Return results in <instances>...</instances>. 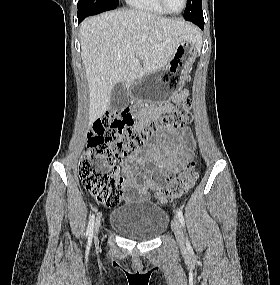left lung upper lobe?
<instances>
[{"label": "left lung upper lobe", "instance_id": "obj_1", "mask_svg": "<svg viewBox=\"0 0 280 285\" xmlns=\"http://www.w3.org/2000/svg\"><path fill=\"white\" fill-rule=\"evenodd\" d=\"M184 18L187 21H198L203 18L201 0H187Z\"/></svg>", "mask_w": 280, "mask_h": 285}]
</instances>
